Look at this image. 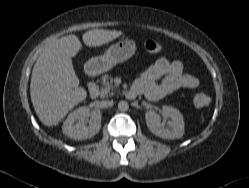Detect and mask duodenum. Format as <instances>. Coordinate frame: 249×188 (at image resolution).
Masks as SVG:
<instances>
[{
  "label": "duodenum",
  "mask_w": 249,
  "mask_h": 188,
  "mask_svg": "<svg viewBox=\"0 0 249 188\" xmlns=\"http://www.w3.org/2000/svg\"><path fill=\"white\" fill-rule=\"evenodd\" d=\"M86 76L89 86V96L91 99L96 100L100 95L99 89L96 84L97 73L93 69H88L86 72ZM128 93L131 98H134L138 95V90L135 88H131Z\"/></svg>",
  "instance_id": "410a0bca"
}]
</instances>
